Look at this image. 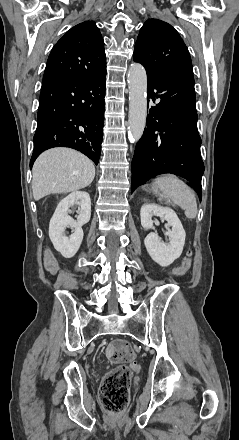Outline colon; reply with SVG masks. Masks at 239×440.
I'll use <instances>...</instances> for the list:
<instances>
[{"label":"colon","instance_id":"1","mask_svg":"<svg viewBox=\"0 0 239 440\" xmlns=\"http://www.w3.org/2000/svg\"><path fill=\"white\" fill-rule=\"evenodd\" d=\"M191 266V254L172 271V275H182ZM107 356L117 366L108 371L102 379L100 386V400L103 408L110 414H120L124 411L129 401V386L132 370L124 363L131 362L135 353L130 343L123 339L112 341L107 348Z\"/></svg>","mask_w":239,"mask_h":440}]
</instances>
